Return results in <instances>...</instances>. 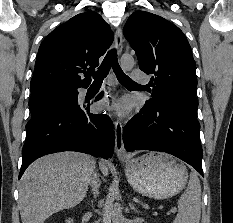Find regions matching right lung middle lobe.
Returning <instances> with one entry per match:
<instances>
[{
    "label": "right lung middle lobe",
    "mask_w": 233,
    "mask_h": 223,
    "mask_svg": "<svg viewBox=\"0 0 233 223\" xmlns=\"http://www.w3.org/2000/svg\"><path fill=\"white\" fill-rule=\"evenodd\" d=\"M61 91H63V89H50L32 94L29 101L31 116L47 110L59 108L60 105L53 102L50 98L56 96Z\"/></svg>",
    "instance_id": "1"
}]
</instances>
